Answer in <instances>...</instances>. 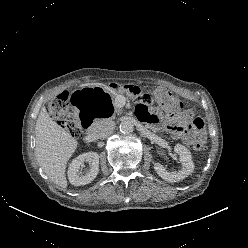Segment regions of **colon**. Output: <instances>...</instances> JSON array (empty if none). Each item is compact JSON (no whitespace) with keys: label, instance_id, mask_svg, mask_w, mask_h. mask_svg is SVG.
Here are the masks:
<instances>
[{"label":"colon","instance_id":"obj_1","mask_svg":"<svg viewBox=\"0 0 248 248\" xmlns=\"http://www.w3.org/2000/svg\"><path fill=\"white\" fill-rule=\"evenodd\" d=\"M112 88L115 91H123L130 94L143 105H150L157 102L164 110L172 114L187 113L183 111V105L179 99L163 89L143 92L139 87L134 85L117 84L112 85ZM69 98L70 96L66 92L58 95L49 104V113L59 123V125L66 129L73 138L77 139L82 135L83 126L81 118L83 116L78 115L71 107ZM191 126L196 130H203L204 121L199 117L192 118ZM194 149L197 151L204 150V140L196 141Z\"/></svg>","mask_w":248,"mask_h":248}]
</instances>
